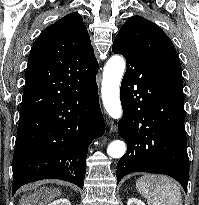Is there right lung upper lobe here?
Wrapping results in <instances>:
<instances>
[{"label":"right lung upper lobe","instance_id":"obj_1","mask_svg":"<svg viewBox=\"0 0 199 205\" xmlns=\"http://www.w3.org/2000/svg\"><path fill=\"white\" fill-rule=\"evenodd\" d=\"M90 37L83 19L70 13L42 31L34 42L26 68L20 118L52 105L98 73Z\"/></svg>","mask_w":199,"mask_h":205}]
</instances>
